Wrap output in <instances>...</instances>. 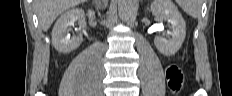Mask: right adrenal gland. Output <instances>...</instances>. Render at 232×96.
<instances>
[{
    "label": "right adrenal gland",
    "mask_w": 232,
    "mask_h": 96,
    "mask_svg": "<svg viewBox=\"0 0 232 96\" xmlns=\"http://www.w3.org/2000/svg\"><path fill=\"white\" fill-rule=\"evenodd\" d=\"M93 3L95 4V8H96V10L98 11V13H99V10H101L102 9V5H101V1L100 0H93ZM105 5H106V3H105Z\"/></svg>",
    "instance_id": "right-adrenal-gland-1"
}]
</instances>
